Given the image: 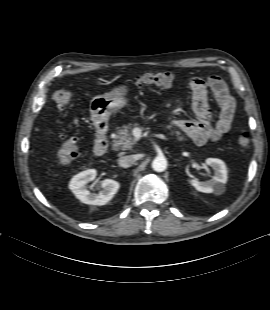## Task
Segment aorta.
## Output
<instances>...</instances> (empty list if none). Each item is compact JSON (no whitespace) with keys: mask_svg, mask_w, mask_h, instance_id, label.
I'll return each instance as SVG.
<instances>
[{"mask_svg":"<svg viewBox=\"0 0 270 310\" xmlns=\"http://www.w3.org/2000/svg\"><path fill=\"white\" fill-rule=\"evenodd\" d=\"M152 168L156 172H163L167 168V160L163 156H158L152 161Z\"/></svg>","mask_w":270,"mask_h":310,"instance_id":"aorta-1","label":"aorta"}]
</instances>
